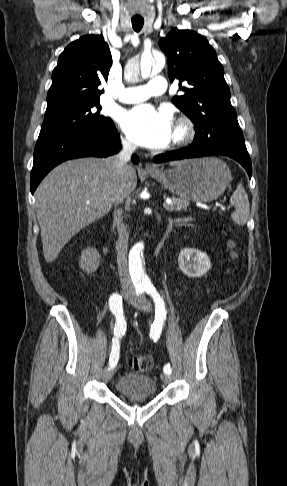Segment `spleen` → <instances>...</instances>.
<instances>
[{
	"label": "spleen",
	"mask_w": 287,
	"mask_h": 486,
	"mask_svg": "<svg viewBox=\"0 0 287 486\" xmlns=\"http://www.w3.org/2000/svg\"><path fill=\"white\" fill-rule=\"evenodd\" d=\"M230 203L235 207V211L231 214L232 221L238 225H245L249 218L250 204L248 195L241 183L237 185L232 194Z\"/></svg>",
	"instance_id": "3e777b00"
}]
</instances>
